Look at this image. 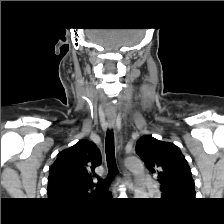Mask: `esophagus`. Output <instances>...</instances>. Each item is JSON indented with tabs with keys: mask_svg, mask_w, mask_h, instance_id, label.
<instances>
[{
	"mask_svg": "<svg viewBox=\"0 0 224 224\" xmlns=\"http://www.w3.org/2000/svg\"><path fill=\"white\" fill-rule=\"evenodd\" d=\"M108 126L110 129H115V118H108ZM121 148V145L120 143L117 141V151H119ZM119 162H120V165L122 167V170H123V180L121 179H117V184H119L120 182H123L126 187L129 189V191H133L134 190V186H133V182H132V178H131V175L130 173L122 166V161L121 159L119 158Z\"/></svg>",
	"mask_w": 224,
	"mask_h": 224,
	"instance_id": "1",
	"label": "esophagus"
}]
</instances>
